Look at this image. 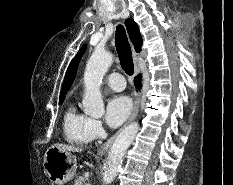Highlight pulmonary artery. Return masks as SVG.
Masks as SVG:
<instances>
[{"mask_svg": "<svg viewBox=\"0 0 233 185\" xmlns=\"http://www.w3.org/2000/svg\"><path fill=\"white\" fill-rule=\"evenodd\" d=\"M105 83L115 91H122L125 88L124 77L119 73H111L106 79Z\"/></svg>", "mask_w": 233, "mask_h": 185, "instance_id": "1", "label": "pulmonary artery"}]
</instances>
